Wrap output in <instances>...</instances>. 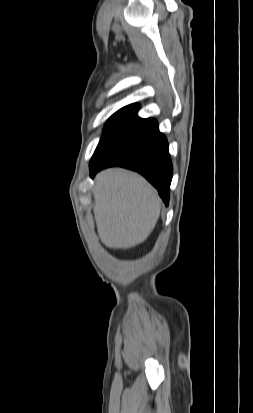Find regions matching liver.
<instances>
[{
  "label": "liver",
  "mask_w": 253,
  "mask_h": 413,
  "mask_svg": "<svg viewBox=\"0 0 253 413\" xmlns=\"http://www.w3.org/2000/svg\"><path fill=\"white\" fill-rule=\"evenodd\" d=\"M93 195L98 235L108 248L134 247L155 228L161 200L139 174L122 168L104 170L95 179Z\"/></svg>",
  "instance_id": "liver-1"
}]
</instances>
